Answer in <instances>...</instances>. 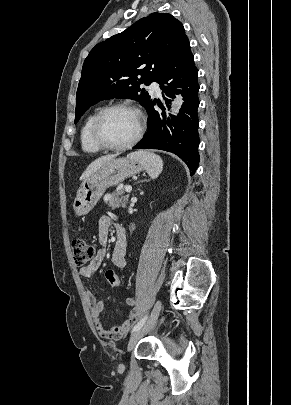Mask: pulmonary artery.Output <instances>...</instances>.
<instances>
[{
    "mask_svg": "<svg viewBox=\"0 0 291 405\" xmlns=\"http://www.w3.org/2000/svg\"><path fill=\"white\" fill-rule=\"evenodd\" d=\"M149 89L151 91V93H159L160 92V88H159V84L156 81H153L150 86Z\"/></svg>",
    "mask_w": 291,
    "mask_h": 405,
    "instance_id": "1",
    "label": "pulmonary artery"
}]
</instances>
